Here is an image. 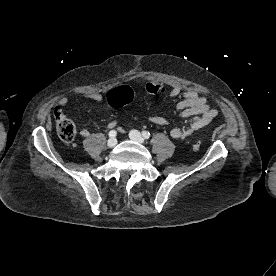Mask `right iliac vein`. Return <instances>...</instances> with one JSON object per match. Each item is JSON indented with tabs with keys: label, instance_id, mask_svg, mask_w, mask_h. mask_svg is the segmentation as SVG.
<instances>
[{
	"label": "right iliac vein",
	"instance_id": "obj_1",
	"mask_svg": "<svg viewBox=\"0 0 276 276\" xmlns=\"http://www.w3.org/2000/svg\"><path fill=\"white\" fill-rule=\"evenodd\" d=\"M116 144H117V139L115 137H111L107 142L108 148H114Z\"/></svg>",
	"mask_w": 276,
	"mask_h": 276
}]
</instances>
